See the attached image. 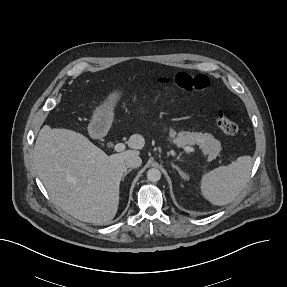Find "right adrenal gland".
<instances>
[{
  "label": "right adrenal gland",
  "mask_w": 287,
  "mask_h": 287,
  "mask_svg": "<svg viewBox=\"0 0 287 287\" xmlns=\"http://www.w3.org/2000/svg\"><path fill=\"white\" fill-rule=\"evenodd\" d=\"M130 171H132V169H128V170L125 171V173L123 174L122 181L124 180L125 176H126Z\"/></svg>",
  "instance_id": "obj_1"
}]
</instances>
